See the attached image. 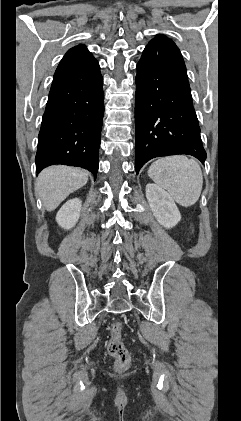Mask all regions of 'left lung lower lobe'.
Masks as SVG:
<instances>
[{
    "label": "left lung lower lobe",
    "mask_w": 241,
    "mask_h": 421,
    "mask_svg": "<svg viewBox=\"0 0 241 421\" xmlns=\"http://www.w3.org/2000/svg\"><path fill=\"white\" fill-rule=\"evenodd\" d=\"M135 126L137 174L160 156L187 154L204 164L206 152L184 60L164 35L149 42L137 64Z\"/></svg>",
    "instance_id": "left-lung-lower-lobe-1"
}]
</instances>
